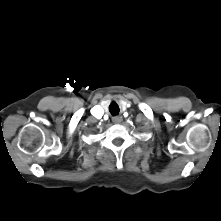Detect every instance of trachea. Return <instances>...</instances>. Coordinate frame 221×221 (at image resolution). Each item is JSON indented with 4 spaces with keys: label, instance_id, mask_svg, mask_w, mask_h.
Masks as SVG:
<instances>
[{
    "label": "trachea",
    "instance_id": "trachea-1",
    "mask_svg": "<svg viewBox=\"0 0 221 221\" xmlns=\"http://www.w3.org/2000/svg\"><path fill=\"white\" fill-rule=\"evenodd\" d=\"M109 111L113 116H115L119 113L120 109L119 106L115 102H113L109 106Z\"/></svg>",
    "mask_w": 221,
    "mask_h": 221
}]
</instances>
